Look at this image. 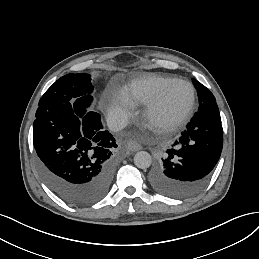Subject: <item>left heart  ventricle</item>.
<instances>
[{
  "label": "left heart ventricle",
  "mask_w": 259,
  "mask_h": 259,
  "mask_svg": "<svg viewBox=\"0 0 259 259\" xmlns=\"http://www.w3.org/2000/svg\"><path fill=\"white\" fill-rule=\"evenodd\" d=\"M190 88L184 82H176L165 88V83L159 86L152 97L161 98V108L149 119L161 128L165 121L182 110L190 100Z\"/></svg>",
  "instance_id": "1"
}]
</instances>
